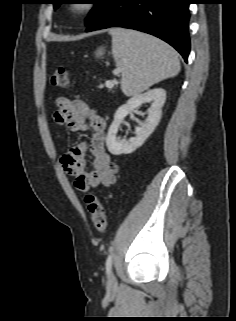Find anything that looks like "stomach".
<instances>
[{"label": "stomach", "instance_id": "1", "mask_svg": "<svg viewBox=\"0 0 236 321\" xmlns=\"http://www.w3.org/2000/svg\"><path fill=\"white\" fill-rule=\"evenodd\" d=\"M105 47H99L96 51H95V56L97 58H101L104 54H105Z\"/></svg>", "mask_w": 236, "mask_h": 321}]
</instances>
